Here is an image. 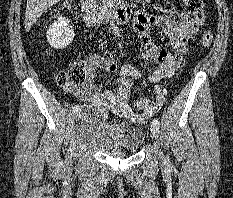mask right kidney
<instances>
[{"instance_id":"right-kidney-1","label":"right kidney","mask_w":233,"mask_h":198,"mask_svg":"<svg viewBox=\"0 0 233 198\" xmlns=\"http://www.w3.org/2000/svg\"><path fill=\"white\" fill-rule=\"evenodd\" d=\"M74 36V30L69 25L68 19L62 17L54 21L47 31L48 43L55 49L66 48L73 41Z\"/></svg>"}]
</instances>
